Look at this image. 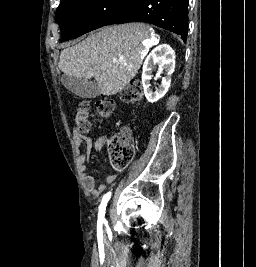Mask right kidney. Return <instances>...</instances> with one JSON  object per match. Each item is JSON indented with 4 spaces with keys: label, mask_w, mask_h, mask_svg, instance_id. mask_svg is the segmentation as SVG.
Returning <instances> with one entry per match:
<instances>
[{
    "label": "right kidney",
    "mask_w": 256,
    "mask_h": 267,
    "mask_svg": "<svg viewBox=\"0 0 256 267\" xmlns=\"http://www.w3.org/2000/svg\"><path fill=\"white\" fill-rule=\"evenodd\" d=\"M154 66H158V72L155 76V80H157V78H161L160 74H163V70L165 72V76L162 78V82L160 86L156 88L155 92H153L150 88V80L153 78L152 70ZM174 70L175 52L172 50L171 46H168V44H161V46H157V48H154V50L150 52L149 56H147L143 64L142 84L144 94L150 104L158 102L160 98H163V96L167 94L171 86V78Z\"/></svg>",
    "instance_id": "obj_1"
}]
</instances>
